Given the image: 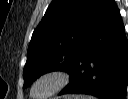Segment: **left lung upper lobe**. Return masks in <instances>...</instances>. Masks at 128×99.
I'll return each mask as SVG.
<instances>
[{
    "mask_svg": "<svg viewBox=\"0 0 128 99\" xmlns=\"http://www.w3.org/2000/svg\"><path fill=\"white\" fill-rule=\"evenodd\" d=\"M109 0H53L34 30L24 88L51 71H68L86 46Z\"/></svg>",
    "mask_w": 128,
    "mask_h": 99,
    "instance_id": "obj_1",
    "label": "left lung upper lobe"
}]
</instances>
